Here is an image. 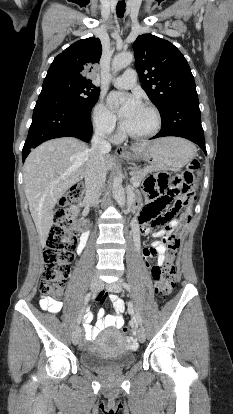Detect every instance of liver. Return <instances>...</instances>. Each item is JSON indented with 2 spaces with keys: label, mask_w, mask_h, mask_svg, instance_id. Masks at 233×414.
<instances>
[{
  "label": "liver",
  "mask_w": 233,
  "mask_h": 414,
  "mask_svg": "<svg viewBox=\"0 0 233 414\" xmlns=\"http://www.w3.org/2000/svg\"><path fill=\"white\" fill-rule=\"evenodd\" d=\"M150 142L131 147L142 154ZM89 148L74 137L46 141L32 150L23 169L25 195L35 223L40 243L44 247L53 225V209L58 200L85 177ZM116 163L115 157L105 156L109 170Z\"/></svg>",
  "instance_id": "1"
}]
</instances>
